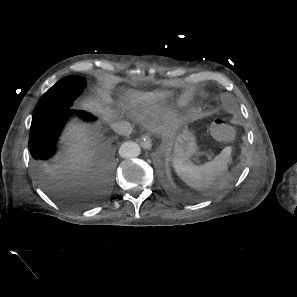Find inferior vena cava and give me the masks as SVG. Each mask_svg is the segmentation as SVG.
<instances>
[{
  "mask_svg": "<svg viewBox=\"0 0 297 297\" xmlns=\"http://www.w3.org/2000/svg\"><path fill=\"white\" fill-rule=\"evenodd\" d=\"M111 128L119 135H130L132 133V126L127 121H119L111 124Z\"/></svg>",
  "mask_w": 297,
  "mask_h": 297,
  "instance_id": "1",
  "label": "inferior vena cava"
}]
</instances>
